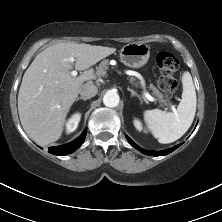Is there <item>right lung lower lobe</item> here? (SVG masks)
I'll use <instances>...</instances> for the list:
<instances>
[{
    "instance_id": "right-lung-lower-lobe-1",
    "label": "right lung lower lobe",
    "mask_w": 222,
    "mask_h": 222,
    "mask_svg": "<svg viewBox=\"0 0 222 222\" xmlns=\"http://www.w3.org/2000/svg\"><path fill=\"white\" fill-rule=\"evenodd\" d=\"M86 137V131L83 132V134L75 139L73 142L61 146H56V147H50L49 148V153L54 154V155H66L69 153H72L75 151L77 148H79L82 143L84 142Z\"/></svg>"
}]
</instances>
